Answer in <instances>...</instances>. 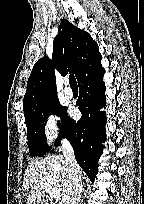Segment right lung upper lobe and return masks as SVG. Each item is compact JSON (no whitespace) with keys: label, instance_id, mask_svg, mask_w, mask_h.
<instances>
[{"label":"right lung upper lobe","instance_id":"right-lung-upper-lobe-1","mask_svg":"<svg viewBox=\"0 0 144 204\" xmlns=\"http://www.w3.org/2000/svg\"><path fill=\"white\" fill-rule=\"evenodd\" d=\"M102 59L98 45L91 36L63 19L53 41L52 60L47 56L34 65L23 100L25 118L57 99L54 68L61 75L73 72L79 80Z\"/></svg>","mask_w":144,"mask_h":204}]
</instances>
